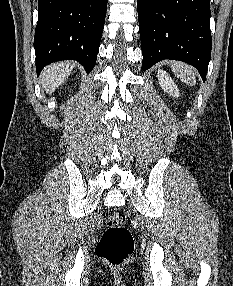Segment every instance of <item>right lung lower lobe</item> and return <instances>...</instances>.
Segmentation results:
<instances>
[{
  "label": "right lung lower lobe",
  "instance_id": "98d812e1",
  "mask_svg": "<svg viewBox=\"0 0 233 286\" xmlns=\"http://www.w3.org/2000/svg\"><path fill=\"white\" fill-rule=\"evenodd\" d=\"M107 0H38L34 48L37 74L59 60L93 69L105 22Z\"/></svg>",
  "mask_w": 233,
  "mask_h": 286
}]
</instances>
